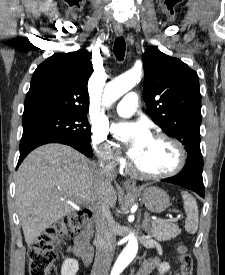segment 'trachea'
Here are the masks:
<instances>
[{
    "instance_id": "1",
    "label": "trachea",
    "mask_w": 225,
    "mask_h": 275,
    "mask_svg": "<svg viewBox=\"0 0 225 275\" xmlns=\"http://www.w3.org/2000/svg\"><path fill=\"white\" fill-rule=\"evenodd\" d=\"M125 40L123 37H118L114 43V54L119 61H122L125 56Z\"/></svg>"
}]
</instances>
